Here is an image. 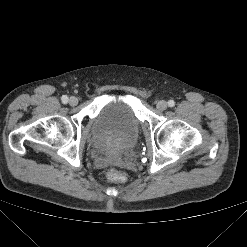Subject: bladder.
Instances as JSON below:
<instances>
[{
	"label": "bladder",
	"instance_id": "bladder-1",
	"mask_svg": "<svg viewBox=\"0 0 247 247\" xmlns=\"http://www.w3.org/2000/svg\"><path fill=\"white\" fill-rule=\"evenodd\" d=\"M139 120L131 102L123 97L106 99L94 118L90 138L93 149L110 158H123L137 142Z\"/></svg>",
	"mask_w": 247,
	"mask_h": 247
}]
</instances>
